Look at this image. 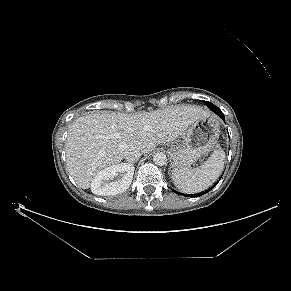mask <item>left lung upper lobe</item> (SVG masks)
Returning <instances> with one entry per match:
<instances>
[{"label":"left lung upper lobe","mask_w":291,"mask_h":291,"mask_svg":"<svg viewBox=\"0 0 291 291\" xmlns=\"http://www.w3.org/2000/svg\"><path fill=\"white\" fill-rule=\"evenodd\" d=\"M204 104L207 105L210 109L216 107L215 105H213L212 103H210L208 101H204Z\"/></svg>","instance_id":"5c2ea615"}]
</instances>
